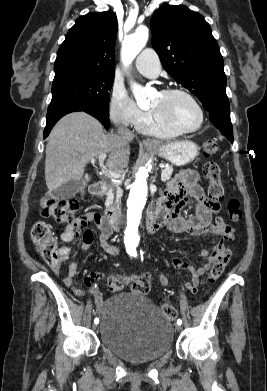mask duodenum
Listing matches in <instances>:
<instances>
[{
	"mask_svg": "<svg viewBox=\"0 0 267 391\" xmlns=\"http://www.w3.org/2000/svg\"><path fill=\"white\" fill-rule=\"evenodd\" d=\"M106 183L104 181H96L90 187V192L94 196H101L106 191ZM106 223L111 230L118 229L119 211L116 208L107 209L105 212ZM164 225V218L158 211L153 212L147 220L148 232L154 233Z\"/></svg>",
	"mask_w": 267,
	"mask_h": 391,
	"instance_id": "410a0bca",
	"label": "duodenum"
}]
</instances>
